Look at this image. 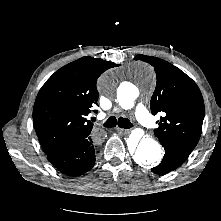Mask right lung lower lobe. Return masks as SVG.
<instances>
[{
    "label": "right lung lower lobe",
    "mask_w": 221,
    "mask_h": 221,
    "mask_svg": "<svg viewBox=\"0 0 221 221\" xmlns=\"http://www.w3.org/2000/svg\"><path fill=\"white\" fill-rule=\"evenodd\" d=\"M94 143V139L89 136L47 155V158L60 172L79 176L95 164Z\"/></svg>",
    "instance_id": "obj_1"
}]
</instances>
